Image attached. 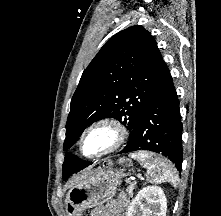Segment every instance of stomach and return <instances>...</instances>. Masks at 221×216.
I'll list each match as a JSON object with an SVG mask.
<instances>
[{"instance_id":"1","label":"stomach","mask_w":221,"mask_h":216,"mask_svg":"<svg viewBox=\"0 0 221 216\" xmlns=\"http://www.w3.org/2000/svg\"><path fill=\"white\" fill-rule=\"evenodd\" d=\"M123 171V169L91 170L69 190L65 199L67 216H81L84 210L102 205L112 199L124 176Z\"/></svg>"}]
</instances>
